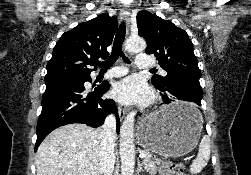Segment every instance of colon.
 Listing matches in <instances>:
<instances>
[{"label":"colon","mask_w":251,"mask_h":175,"mask_svg":"<svg viewBox=\"0 0 251 175\" xmlns=\"http://www.w3.org/2000/svg\"><path fill=\"white\" fill-rule=\"evenodd\" d=\"M160 175H186L185 166L180 162H165L160 166Z\"/></svg>","instance_id":"colon-1"}]
</instances>
